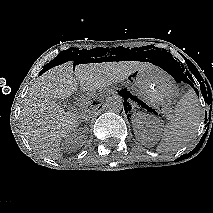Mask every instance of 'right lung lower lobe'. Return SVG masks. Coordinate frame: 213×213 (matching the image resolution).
Wrapping results in <instances>:
<instances>
[{
    "label": "right lung lower lobe",
    "instance_id": "1",
    "mask_svg": "<svg viewBox=\"0 0 213 213\" xmlns=\"http://www.w3.org/2000/svg\"><path fill=\"white\" fill-rule=\"evenodd\" d=\"M45 67H46V66H45ZM45 67L43 68V70H42L41 72H44V70L46 69Z\"/></svg>",
    "mask_w": 213,
    "mask_h": 213
}]
</instances>
